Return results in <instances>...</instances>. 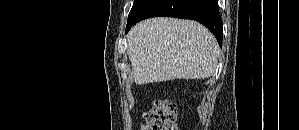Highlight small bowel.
I'll return each instance as SVG.
<instances>
[{
  "label": "small bowel",
  "mask_w": 299,
  "mask_h": 130,
  "mask_svg": "<svg viewBox=\"0 0 299 130\" xmlns=\"http://www.w3.org/2000/svg\"><path fill=\"white\" fill-rule=\"evenodd\" d=\"M140 130H144V128L142 127Z\"/></svg>",
  "instance_id": "obj_1"
}]
</instances>
